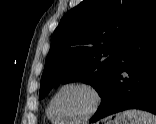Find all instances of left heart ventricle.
Instances as JSON below:
<instances>
[{
	"mask_svg": "<svg viewBox=\"0 0 156 124\" xmlns=\"http://www.w3.org/2000/svg\"><path fill=\"white\" fill-rule=\"evenodd\" d=\"M94 98L84 88H68L56 99L55 113L65 120H75L85 116L92 108Z\"/></svg>",
	"mask_w": 156,
	"mask_h": 124,
	"instance_id": "b2bd125f",
	"label": "left heart ventricle"
}]
</instances>
